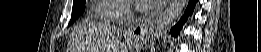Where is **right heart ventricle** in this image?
<instances>
[{"instance_id":"right-heart-ventricle-1","label":"right heart ventricle","mask_w":261,"mask_h":52,"mask_svg":"<svg viewBox=\"0 0 261 52\" xmlns=\"http://www.w3.org/2000/svg\"><path fill=\"white\" fill-rule=\"evenodd\" d=\"M121 9L122 7L114 1L100 0L92 9V19L102 23L118 24L115 13Z\"/></svg>"}]
</instances>
